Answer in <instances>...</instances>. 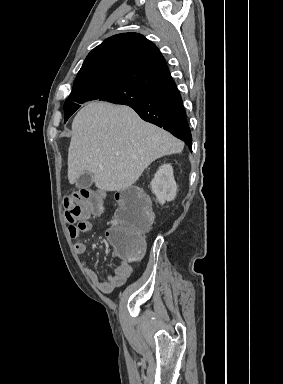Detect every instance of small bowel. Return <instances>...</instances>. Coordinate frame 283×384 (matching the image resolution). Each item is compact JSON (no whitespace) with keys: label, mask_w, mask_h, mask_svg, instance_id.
Masks as SVG:
<instances>
[{"label":"small bowel","mask_w":283,"mask_h":384,"mask_svg":"<svg viewBox=\"0 0 283 384\" xmlns=\"http://www.w3.org/2000/svg\"><path fill=\"white\" fill-rule=\"evenodd\" d=\"M92 222L85 219L83 222L76 226H69V234L71 238H77L80 234L86 233L92 229ZM74 251L77 255L82 256L87 251V245L83 241H77L74 244ZM117 257L116 254H114ZM84 270L92 283L104 293H112L116 288L122 286L132 273V265L128 261L121 260L112 275L106 279H100L99 276L83 263Z\"/></svg>","instance_id":"c3829d8e"}]
</instances>
